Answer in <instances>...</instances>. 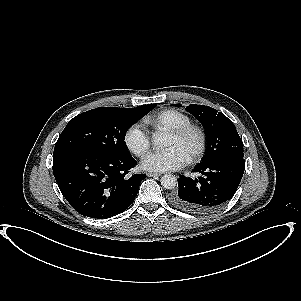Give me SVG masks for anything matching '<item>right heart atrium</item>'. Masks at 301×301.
Here are the masks:
<instances>
[{
	"instance_id": "right-heart-atrium-1",
	"label": "right heart atrium",
	"mask_w": 301,
	"mask_h": 301,
	"mask_svg": "<svg viewBox=\"0 0 301 301\" xmlns=\"http://www.w3.org/2000/svg\"><path fill=\"white\" fill-rule=\"evenodd\" d=\"M126 144L136 155L145 154L150 148L148 134L138 126L131 127L126 134Z\"/></svg>"
}]
</instances>
